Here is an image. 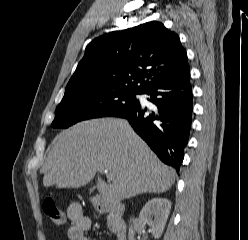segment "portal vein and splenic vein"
Returning <instances> with one entry per match:
<instances>
[{
	"instance_id": "obj_1",
	"label": "portal vein and splenic vein",
	"mask_w": 248,
	"mask_h": 240,
	"mask_svg": "<svg viewBox=\"0 0 248 240\" xmlns=\"http://www.w3.org/2000/svg\"><path fill=\"white\" fill-rule=\"evenodd\" d=\"M104 173L108 176L109 175V171L108 170H104Z\"/></svg>"
}]
</instances>
